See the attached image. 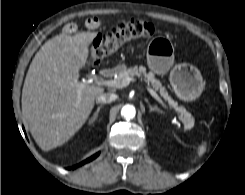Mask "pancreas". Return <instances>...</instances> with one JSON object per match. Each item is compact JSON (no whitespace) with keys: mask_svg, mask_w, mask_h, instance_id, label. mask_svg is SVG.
I'll return each instance as SVG.
<instances>
[{"mask_svg":"<svg viewBox=\"0 0 245 195\" xmlns=\"http://www.w3.org/2000/svg\"><path fill=\"white\" fill-rule=\"evenodd\" d=\"M113 74H117L115 79L120 85L126 77H144V80L150 84L155 90H158L160 95L168 102L170 107L175 109L179 114V118L184 124L185 130H190L193 128L195 120L192 115L182 106H179L169 95L166 89L162 86L161 82L155 78L153 72H147L144 66H134L133 68H124L122 70H117Z\"/></svg>","mask_w":245,"mask_h":195,"instance_id":"1","label":"pancreas"}]
</instances>
